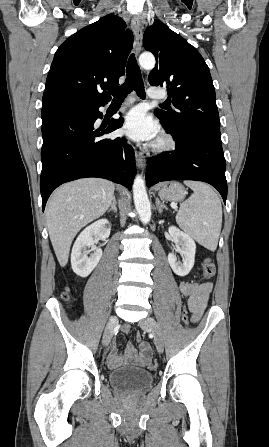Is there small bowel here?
<instances>
[{
  "instance_id": "c3829d8e",
  "label": "small bowel",
  "mask_w": 269,
  "mask_h": 447,
  "mask_svg": "<svg viewBox=\"0 0 269 447\" xmlns=\"http://www.w3.org/2000/svg\"><path fill=\"white\" fill-rule=\"evenodd\" d=\"M213 284L211 282L195 281V282H181L179 284L180 292L188 297V306L191 311V320L196 323L201 318L204 310L207 307L209 296L212 292ZM123 332L129 331L128 327L122 329ZM136 339L142 338L141 332L135 333ZM146 342L139 343V355L136 353V348L129 343L125 347L124 355H119L118 350L113 346L109 352L107 364L111 368L119 367L126 361H133L136 365L144 367L145 361H152L153 356H143L142 348L145 347Z\"/></svg>"
}]
</instances>
